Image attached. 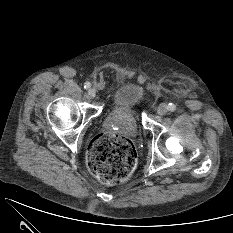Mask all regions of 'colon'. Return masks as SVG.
<instances>
[{"mask_svg":"<svg viewBox=\"0 0 233 233\" xmlns=\"http://www.w3.org/2000/svg\"><path fill=\"white\" fill-rule=\"evenodd\" d=\"M136 165V151L129 138L104 132L92 139L87 150V166L106 184L126 180Z\"/></svg>","mask_w":233,"mask_h":233,"instance_id":"obj_1","label":"colon"}]
</instances>
